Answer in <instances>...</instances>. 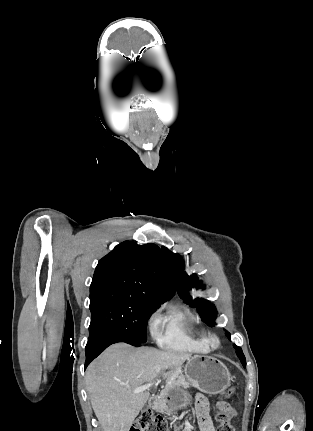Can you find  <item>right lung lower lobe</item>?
<instances>
[{
    "label": "right lung lower lobe",
    "mask_w": 313,
    "mask_h": 431,
    "mask_svg": "<svg viewBox=\"0 0 313 431\" xmlns=\"http://www.w3.org/2000/svg\"><path fill=\"white\" fill-rule=\"evenodd\" d=\"M118 342H125L136 347L141 345V343L118 333L101 332L96 336L88 339V343L85 348V353H86L85 368L89 365V363L93 359H95L100 353H102L108 346Z\"/></svg>",
    "instance_id": "98d812e1"
}]
</instances>
